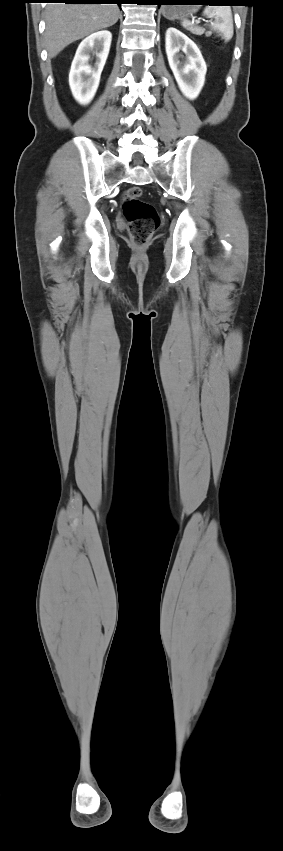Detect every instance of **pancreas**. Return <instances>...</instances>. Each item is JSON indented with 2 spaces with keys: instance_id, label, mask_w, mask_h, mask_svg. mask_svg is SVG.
<instances>
[{
  "instance_id": "cf45deb5",
  "label": "pancreas",
  "mask_w": 283,
  "mask_h": 851,
  "mask_svg": "<svg viewBox=\"0 0 283 851\" xmlns=\"http://www.w3.org/2000/svg\"><path fill=\"white\" fill-rule=\"evenodd\" d=\"M203 32H204V29H202V28H197L195 31H193V33H195L197 35H201V34H203Z\"/></svg>"
}]
</instances>
